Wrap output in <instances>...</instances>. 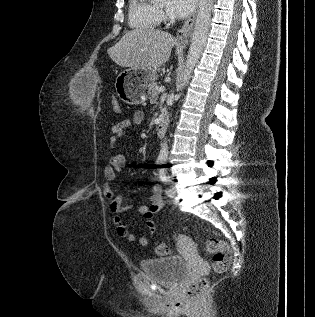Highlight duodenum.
I'll return each instance as SVG.
<instances>
[{
  "mask_svg": "<svg viewBox=\"0 0 315 317\" xmlns=\"http://www.w3.org/2000/svg\"><path fill=\"white\" fill-rule=\"evenodd\" d=\"M167 122H168L167 112L165 110H162L159 114L158 122H157L156 132L158 136H163V134L165 133Z\"/></svg>",
  "mask_w": 315,
  "mask_h": 317,
  "instance_id": "1",
  "label": "duodenum"
}]
</instances>
